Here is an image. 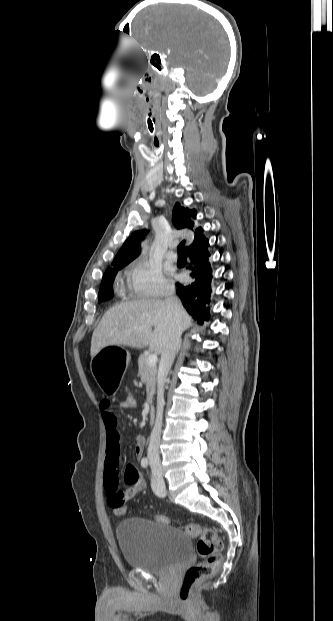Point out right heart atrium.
<instances>
[{"label":"right heart atrium","mask_w":333,"mask_h":621,"mask_svg":"<svg viewBox=\"0 0 333 621\" xmlns=\"http://www.w3.org/2000/svg\"><path fill=\"white\" fill-rule=\"evenodd\" d=\"M128 285L131 294L139 298L163 297L173 291L172 283L161 269L145 259H140L132 265Z\"/></svg>","instance_id":"d8ad5b80"}]
</instances>
